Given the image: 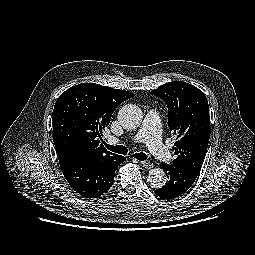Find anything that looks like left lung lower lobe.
I'll return each instance as SVG.
<instances>
[{
  "instance_id": "obj_1",
  "label": "left lung lower lobe",
  "mask_w": 255,
  "mask_h": 255,
  "mask_svg": "<svg viewBox=\"0 0 255 255\" xmlns=\"http://www.w3.org/2000/svg\"><path fill=\"white\" fill-rule=\"evenodd\" d=\"M161 168L165 171L168 182L160 189H156V195L165 199H174L185 193L194 183L197 175L187 168L176 165L161 163Z\"/></svg>"
}]
</instances>
